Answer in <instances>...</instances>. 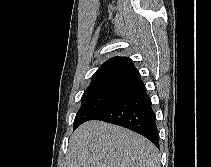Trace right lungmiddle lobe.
I'll return each mask as SVG.
<instances>
[{"instance_id": "right-lung-middle-lobe-1", "label": "right lung middle lobe", "mask_w": 211, "mask_h": 167, "mask_svg": "<svg viewBox=\"0 0 211 167\" xmlns=\"http://www.w3.org/2000/svg\"><path fill=\"white\" fill-rule=\"evenodd\" d=\"M131 85V80H100L91 82L81 98V107L74 120V129L92 119L125 93Z\"/></svg>"}]
</instances>
